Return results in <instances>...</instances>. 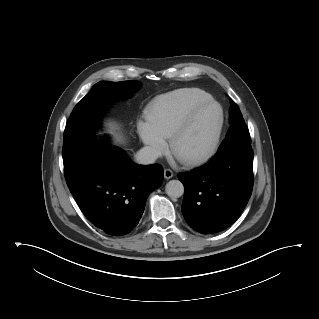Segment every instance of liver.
Instances as JSON below:
<instances>
[{
	"label": "liver",
	"mask_w": 319,
	"mask_h": 319,
	"mask_svg": "<svg viewBox=\"0 0 319 319\" xmlns=\"http://www.w3.org/2000/svg\"><path fill=\"white\" fill-rule=\"evenodd\" d=\"M110 128H111V133L114 134L116 140H117L118 142H122V140H123V139H122V136L119 135L118 133H115V132L112 131V130H115V129H116V126H115L114 124H110Z\"/></svg>",
	"instance_id": "obj_1"
}]
</instances>
